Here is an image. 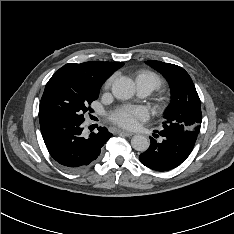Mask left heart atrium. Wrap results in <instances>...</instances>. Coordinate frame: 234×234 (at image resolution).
<instances>
[{
    "instance_id": "1",
    "label": "left heart atrium",
    "mask_w": 234,
    "mask_h": 234,
    "mask_svg": "<svg viewBox=\"0 0 234 234\" xmlns=\"http://www.w3.org/2000/svg\"><path fill=\"white\" fill-rule=\"evenodd\" d=\"M147 117V112L139 107L122 108L115 112L111 119L118 125L133 129L137 126L139 120H144Z\"/></svg>"
}]
</instances>
